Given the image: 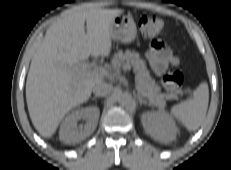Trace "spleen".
I'll use <instances>...</instances> for the list:
<instances>
[{
	"label": "spleen",
	"mask_w": 231,
	"mask_h": 170,
	"mask_svg": "<svg viewBox=\"0 0 231 170\" xmlns=\"http://www.w3.org/2000/svg\"><path fill=\"white\" fill-rule=\"evenodd\" d=\"M209 102L207 83H201L193 93V97L175 105L171 114L188 130H196L205 119Z\"/></svg>",
	"instance_id": "3e777b00"
}]
</instances>
